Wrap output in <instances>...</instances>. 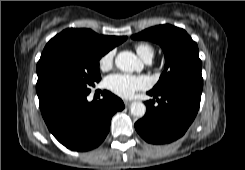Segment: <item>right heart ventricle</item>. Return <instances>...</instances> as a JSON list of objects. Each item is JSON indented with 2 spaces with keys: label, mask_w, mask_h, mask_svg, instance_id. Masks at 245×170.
Segmentation results:
<instances>
[{
  "label": "right heart ventricle",
  "mask_w": 245,
  "mask_h": 170,
  "mask_svg": "<svg viewBox=\"0 0 245 170\" xmlns=\"http://www.w3.org/2000/svg\"><path fill=\"white\" fill-rule=\"evenodd\" d=\"M135 50L140 58L144 61L151 60L154 56V50L152 46L147 43H138L135 45Z\"/></svg>",
  "instance_id": "right-heart-ventricle-1"
}]
</instances>
